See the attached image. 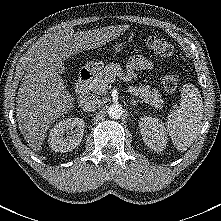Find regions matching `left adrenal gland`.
I'll return each mask as SVG.
<instances>
[{
	"mask_svg": "<svg viewBox=\"0 0 221 221\" xmlns=\"http://www.w3.org/2000/svg\"><path fill=\"white\" fill-rule=\"evenodd\" d=\"M137 103H142V102L139 101V100H134V99H132V101L130 102V104H131L132 106H135Z\"/></svg>",
	"mask_w": 221,
	"mask_h": 221,
	"instance_id": "a2214340",
	"label": "left adrenal gland"
}]
</instances>
